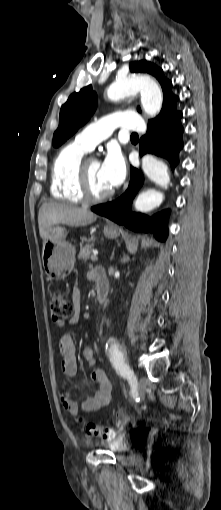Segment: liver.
Segmentation results:
<instances>
[{"label":"liver","mask_w":221,"mask_h":510,"mask_svg":"<svg viewBox=\"0 0 221 510\" xmlns=\"http://www.w3.org/2000/svg\"><path fill=\"white\" fill-rule=\"evenodd\" d=\"M96 219L97 215L86 208L58 202L44 203L38 214L39 234L44 239L53 225L66 224L78 227L90 224Z\"/></svg>","instance_id":"1"}]
</instances>
